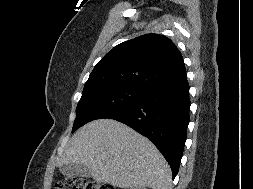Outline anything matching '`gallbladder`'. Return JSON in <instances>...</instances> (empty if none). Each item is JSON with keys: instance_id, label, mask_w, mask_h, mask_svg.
I'll list each match as a JSON object with an SVG mask.
<instances>
[{"instance_id": "1", "label": "gallbladder", "mask_w": 253, "mask_h": 189, "mask_svg": "<svg viewBox=\"0 0 253 189\" xmlns=\"http://www.w3.org/2000/svg\"><path fill=\"white\" fill-rule=\"evenodd\" d=\"M60 172L66 176L90 177L91 170L82 164L71 163L60 167Z\"/></svg>"}]
</instances>
